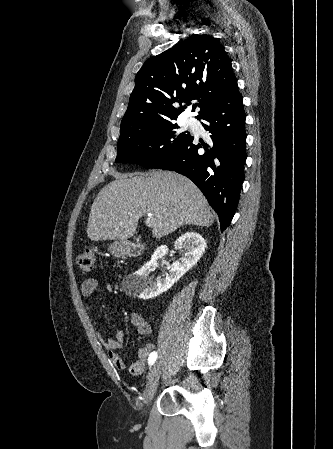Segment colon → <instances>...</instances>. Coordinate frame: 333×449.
I'll list each match as a JSON object with an SVG mask.
<instances>
[{"label": "colon", "instance_id": "colon-1", "mask_svg": "<svg viewBox=\"0 0 333 449\" xmlns=\"http://www.w3.org/2000/svg\"><path fill=\"white\" fill-rule=\"evenodd\" d=\"M96 255L97 250L94 248H88L84 250L76 258L77 267L84 272L91 271L95 263Z\"/></svg>", "mask_w": 333, "mask_h": 449}]
</instances>
